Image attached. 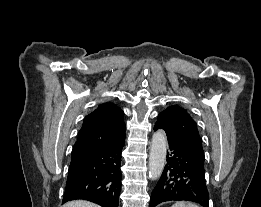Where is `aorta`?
<instances>
[{"label":"aorta","mask_w":261,"mask_h":207,"mask_svg":"<svg viewBox=\"0 0 261 207\" xmlns=\"http://www.w3.org/2000/svg\"><path fill=\"white\" fill-rule=\"evenodd\" d=\"M166 162V135L159 130L152 136L149 155V177L158 179L164 169Z\"/></svg>","instance_id":"aorta-1"}]
</instances>
